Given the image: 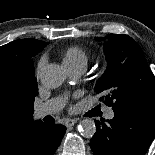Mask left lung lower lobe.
Returning a JSON list of instances; mask_svg holds the SVG:
<instances>
[{"mask_svg":"<svg viewBox=\"0 0 155 155\" xmlns=\"http://www.w3.org/2000/svg\"><path fill=\"white\" fill-rule=\"evenodd\" d=\"M96 122L90 140L95 155H144L155 137V104L115 111L112 120Z\"/></svg>","mask_w":155,"mask_h":155,"instance_id":"left-lung-lower-lobe-1","label":"left lung lower lobe"}]
</instances>
